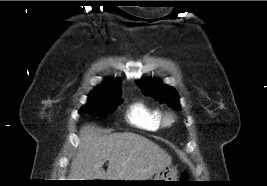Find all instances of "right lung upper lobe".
<instances>
[{"label": "right lung upper lobe", "mask_w": 267, "mask_h": 186, "mask_svg": "<svg viewBox=\"0 0 267 186\" xmlns=\"http://www.w3.org/2000/svg\"><path fill=\"white\" fill-rule=\"evenodd\" d=\"M121 92V82L120 80L108 79L102 85L98 86L92 93H117Z\"/></svg>", "instance_id": "obj_1"}]
</instances>
